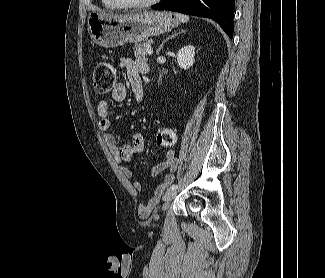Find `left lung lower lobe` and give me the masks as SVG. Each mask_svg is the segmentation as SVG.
Instances as JSON below:
<instances>
[{
    "instance_id": "obj_1",
    "label": "left lung lower lobe",
    "mask_w": 325,
    "mask_h": 278,
    "mask_svg": "<svg viewBox=\"0 0 325 278\" xmlns=\"http://www.w3.org/2000/svg\"><path fill=\"white\" fill-rule=\"evenodd\" d=\"M234 5V0H162L152 8L210 18L216 21L229 37H233Z\"/></svg>"
}]
</instances>
